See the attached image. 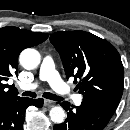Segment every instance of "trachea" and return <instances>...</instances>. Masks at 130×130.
Returning a JSON list of instances; mask_svg holds the SVG:
<instances>
[{
	"label": "trachea",
	"mask_w": 130,
	"mask_h": 130,
	"mask_svg": "<svg viewBox=\"0 0 130 130\" xmlns=\"http://www.w3.org/2000/svg\"><path fill=\"white\" fill-rule=\"evenodd\" d=\"M23 96H28V97H36V93L35 92H31V91H26V92H23L22 93ZM43 97L44 98H47V99H50V100H54V101H60V100H63L62 97H59L55 94H52V93H49V92H45L43 93Z\"/></svg>",
	"instance_id": "3493384b"
}]
</instances>
